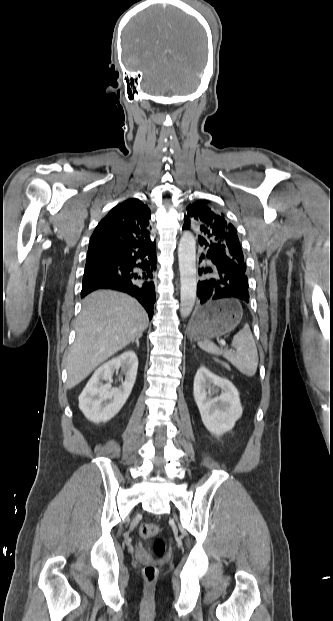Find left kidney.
I'll return each mask as SVG.
<instances>
[{
    "label": "left kidney",
    "instance_id": "1",
    "mask_svg": "<svg viewBox=\"0 0 333 621\" xmlns=\"http://www.w3.org/2000/svg\"><path fill=\"white\" fill-rule=\"evenodd\" d=\"M218 388L222 390L219 396L208 397V393L214 394ZM193 394L202 422L211 433L221 435L230 431L242 416L243 409L235 386L204 366L195 375Z\"/></svg>",
    "mask_w": 333,
    "mask_h": 621
}]
</instances>
